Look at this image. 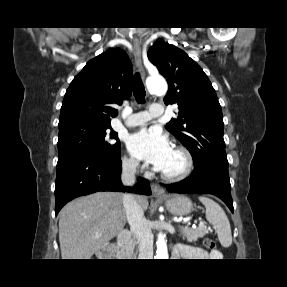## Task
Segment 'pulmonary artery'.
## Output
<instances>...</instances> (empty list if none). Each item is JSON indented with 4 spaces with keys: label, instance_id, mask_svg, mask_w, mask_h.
Listing matches in <instances>:
<instances>
[{
    "label": "pulmonary artery",
    "instance_id": "obj_1",
    "mask_svg": "<svg viewBox=\"0 0 287 287\" xmlns=\"http://www.w3.org/2000/svg\"><path fill=\"white\" fill-rule=\"evenodd\" d=\"M162 113H163L162 106L159 104H153L149 107L148 111H142L131 115L126 121V124L131 127L138 126L146 123L147 121L155 117L161 116Z\"/></svg>",
    "mask_w": 287,
    "mask_h": 287
}]
</instances>
